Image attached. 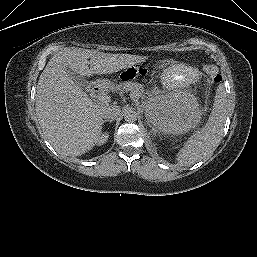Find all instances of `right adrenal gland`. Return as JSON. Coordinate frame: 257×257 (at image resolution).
<instances>
[{"instance_id":"2a0ac1e0","label":"right adrenal gland","mask_w":257,"mask_h":257,"mask_svg":"<svg viewBox=\"0 0 257 257\" xmlns=\"http://www.w3.org/2000/svg\"><path fill=\"white\" fill-rule=\"evenodd\" d=\"M113 120H104L103 123H106V122H112Z\"/></svg>"}]
</instances>
